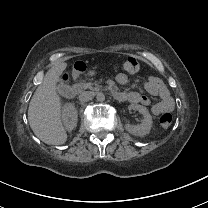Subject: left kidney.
<instances>
[{"label": "left kidney", "mask_w": 208, "mask_h": 208, "mask_svg": "<svg viewBox=\"0 0 208 208\" xmlns=\"http://www.w3.org/2000/svg\"><path fill=\"white\" fill-rule=\"evenodd\" d=\"M128 109L139 111L144 116V119L140 125L126 124L125 129L129 133L136 136H144L148 134L152 127V116L150 115L148 109L138 104H131L128 106Z\"/></svg>", "instance_id": "1"}]
</instances>
